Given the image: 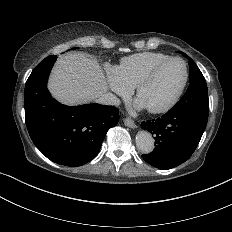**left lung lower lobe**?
Returning <instances> with one entry per match:
<instances>
[{
    "instance_id": "0a47b994",
    "label": "left lung lower lobe",
    "mask_w": 232,
    "mask_h": 232,
    "mask_svg": "<svg viewBox=\"0 0 232 232\" xmlns=\"http://www.w3.org/2000/svg\"><path fill=\"white\" fill-rule=\"evenodd\" d=\"M207 121L187 111H171L160 118L143 121L141 127L154 135L155 148L142 158L158 169H171L194 153Z\"/></svg>"
}]
</instances>
